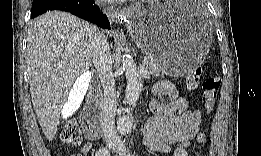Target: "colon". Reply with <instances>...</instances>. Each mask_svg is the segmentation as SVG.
Returning <instances> with one entry per match:
<instances>
[{
    "instance_id": "1",
    "label": "colon",
    "mask_w": 261,
    "mask_h": 156,
    "mask_svg": "<svg viewBox=\"0 0 261 156\" xmlns=\"http://www.w3.org/2000/svg\"><path fill=\"white\" fill-rule=\"evenodd\" d=\"M201 68L197 67L191 71L187 77V88L190 91H195L201 84L203 90L202 102L206 112H211L216 104L218 91L221 85V80L217 76H210L200 82ZM84 131L87 136L97 138L101 131L97 125H85ZM63 143L78 146L82 142V130L76 121L69 122L61 133ZM205 142V134L199 133L196 137V143L202 145Z\"/></svg>"
}]
</instances>
